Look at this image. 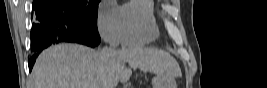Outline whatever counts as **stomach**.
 <instances>
[{"label":"stomach","instance_id":"1","mask_svg":"<svg viewBox=\"0 0 267 88\" xmlns=\"http://www.w3.org/2000/svg\"><path fill=\"white\" fill-rule=\"evenodd\" d=\"M153 88H176V83L173 78L166 74L157 73L152 79Z\"/></svg>","mask_w":267,"mask_h":88}]
</instances>
